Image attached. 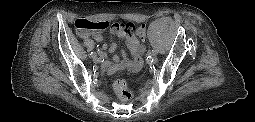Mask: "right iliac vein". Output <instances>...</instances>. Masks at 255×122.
Returning <instances> with one entry per match:
<instances>
[{"instance_id":"obj_1","label":"right iliac vein","mask_w":255,"mask_h":122,"mask_svg":"<svg viewBox=\"0 0 255 122\" xmlns=\"http://www.w3.org/2000/svg\"><path fill=\"white\" fill-rule=\"evenodd\" d=\"M92 59H93L94 62H99V60H100V58H99V56H98L97 54L94 55V56L92 57Z\"/></svg>"}]
</instances>
